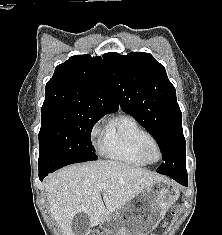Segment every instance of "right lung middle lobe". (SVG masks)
I'll list each match as a JSON object with an SVG mask.
<instances>
[{"mask_svg": "<svg viewBox=\"0 0 222 235\" xmlns=\"http://www.w3.org/2000/svg\"><path fill=\"white\" fill-rule=\"evenodd\" d=\"M104 115L78 110H54L41 114L39 172L97 160L90 141L95 123Z\"/></svg>", "mask_w": 222, "mask_h": 235, "instance_id": "dd1d6c3e", "label": "right lung middle lobe"}]
</instances>
